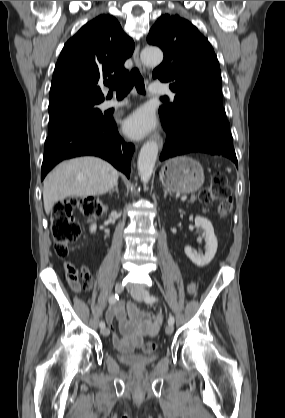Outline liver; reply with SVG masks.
Returning <instances> with one entry per match:
<instances>
[{"instance_id": "obj_1", "label": "liver", "mask_w": 285, "mask_h": 418, "mask_svg": "<svg viewBox=\"0 0 285 418\" xmlns=\"http://www.w3.org/2000/svg\"><path fill=\"white\" fill-rule=\"evenodd\" d=\"M119 173L108 162L96 157L64 161L44 180L43 202L47 214L55 203L67 197L97 196L118 184Z\"/></svg>"}]
</instances>
